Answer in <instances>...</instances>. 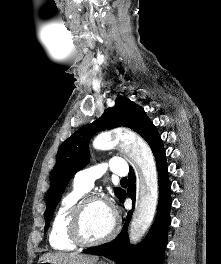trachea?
<instances>
[{
	"label": "trachea",
	"instance_id": "obj_1",
	"mask_svg": "<svg viewBox=\"0 0 221 264\" xmlns=\"http://www.w3.org/2000/svg\"><path fill=\"white\" fill-rule=\"evenodd\" d=\"M121 182H127V178L126 177L122 178Z\"/></svg>",
	"mask_w": 221,
	"mask_h": 264
}]
</instances>
